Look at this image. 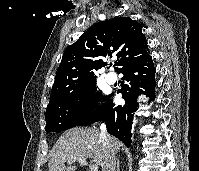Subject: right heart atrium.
Listing matches in <instances>:
<instances>
[{
    "instance_id": "d8ad5b80",
    "label": "right heart atrium",
    "mask_w": 199,
    "mask_h": 171,
    "mask_svg": "<svg viewBox=\"0 0 199 171\" xmlns=\"http://www.w3.org/2000/svg\"><path fill=\"white\" fill-rule=\"evenodd\" d=\"M92 106H93L92 102L89 101L88 99H86V100H84V101L82 102V107H83V109H84L85 111L90 110V109L92 108Z\"/></svg>"
}]
</instances>
